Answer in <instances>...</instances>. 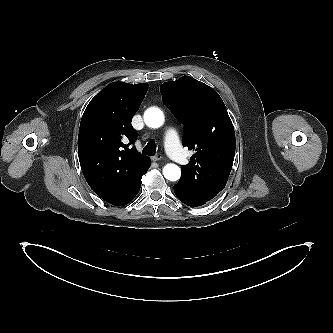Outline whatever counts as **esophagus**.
Segmentation results:
<instances>
[{"label": "esophagus", "instance_id": "1", "mask_svg": "<svg viewBox=\"0 0 333 333\" xmlns=\"http://www.w3.org/2000/svg\"><path fill=\"white\" fill-rule=\"evenodd\" d=\"M151 159L153 160V161H160V160H162V156L161 155H159V154H157V155H155V156H152L151 157Z\"/></svg>", "mask_w": 333, "mask_h": 333}]
</instances>
